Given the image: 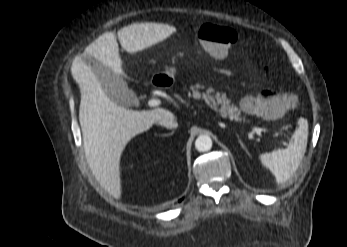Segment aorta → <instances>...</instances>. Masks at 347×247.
Here are the masks:
<instances>
[{
	"instance_id": "1",
	"label": "aorta",
	"mask_w": 347,
	"mask_h": 247,
	"mask_svg": "<svg viewBox=\"0 0 347 247\" xmlns=\"http://www.w3.org/2000/svg\"><path fill=\"white\" fill-rule=\"evenodd\" d=\"M195 148L199 152H207L212 148V139L207 135L199 136L195 141Z\"/></svg>"
}]
</instances>
